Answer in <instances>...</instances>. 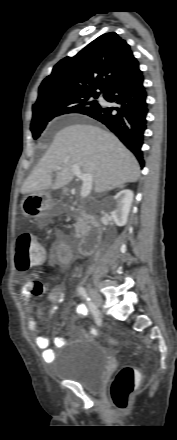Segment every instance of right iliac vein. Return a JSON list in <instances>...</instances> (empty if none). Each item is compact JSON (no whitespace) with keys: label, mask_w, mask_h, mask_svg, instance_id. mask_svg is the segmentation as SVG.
Masks as SVG:
<instances>
[{"label":"right iliac vein","mask_w":177,"mask_h":440,"mask_svg":"<svg viewBox=\"0 0 177 440\" xmlns=\"http://www.w3.org/2000/svg\"><path fill=\"white\" fill-rule=\"evenodd\" d=\"M89 294L96 307L101 308L103 305V299L100 294L93 287H89Z\"/></svg>","instance_id":"63e3f726"}]
</instances>
